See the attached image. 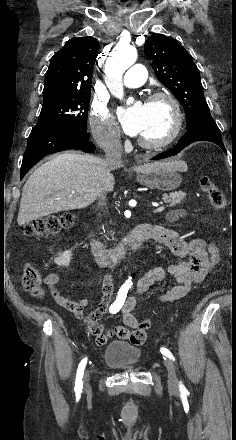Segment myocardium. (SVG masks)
Masks as SVG:
<instances>
[{
  "label": "myocardium",
  "mask_w": 236,
  "mask_h": 440,
  "mask_svg": "<svg viewBox=\"0 0 236 440\" xmlns=\"http://www.w3.org/2000/svg\"><path fill=\"white\" fill-rule=\"evenodd\" d=\"M158 100H164L169 104L172 111L173 124L169 134L165 138L159 141H148L139 138L138 144L145 149L157 150V149L165 148L170 144H172L179 137L182 131L183 115L180 104L176 99V97L167 91H156L151 93L147 97V103H151Z\"/></svg>",
  "instance_id": "myocardium-1"
}]
</instances>
